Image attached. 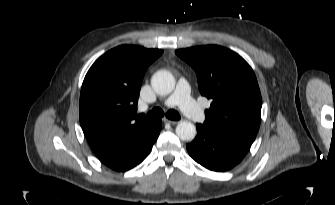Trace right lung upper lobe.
Returning <instances> with one entry per match:
<instances>
[{
	"mask_svg": "<svg viewBox=\"0 0 335 205\" xmlns=\"http://www.w3.org/2000/svg\"><path fill=\"white\" fill-rule=\"evenodd\" d=\"M160 49L121 45L103 54L82 84L79 119L99 159L133 153L151 141L161 120L137 114L139 92L147 67Z\"/></svg>",
	"mask_w": 335,
	"mask_h": 205,
	"instance_id": "1",
	"label": "right lung upper lobe"
}]
</instances>
